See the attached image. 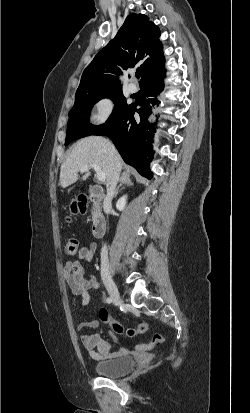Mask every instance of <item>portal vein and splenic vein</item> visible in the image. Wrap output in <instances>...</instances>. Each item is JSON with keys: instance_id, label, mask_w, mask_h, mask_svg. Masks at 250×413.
Instances as JSON below:
<instances>
[{"instance_id": "obj_1", "label": "portal vein and splenic vein", "mask_w": 250, "mask_h": 413, "mask_svg": "<svg viewBox=\"0 0 250 413\" xmlns=\"http://www.w3.org/2000/svg\"><path fill=\"white\" fill-rule=\"evenodd\" d=\"M90 167L94 168V170L96 171V174H97V178L100 182H104L106 180V176L102 172V170H101V168L98 164L93 163V164L82 166L80 171L81 172H86Z\"/></svg>"}]
</instances>
